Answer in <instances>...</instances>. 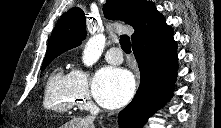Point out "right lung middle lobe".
<instances>
[{
	"label": "right lung middle lobe",
	"instance_id": "right-lung-middle-lobe-1",
	"mask_svg": "<svg viewBox=\"0 0 221 128\" xmlns=\"http://www.w3.org/2000/svg\"><path fill=\"white\" fill-rule=\"evenodd\" d=\"M55 57H50V58H47V59H44L43 61V64H42V70L48 66V64L54 59Z\"/></svg>",
	"mask_w": 221,
	"mask_h": 128
}]
</instances>
